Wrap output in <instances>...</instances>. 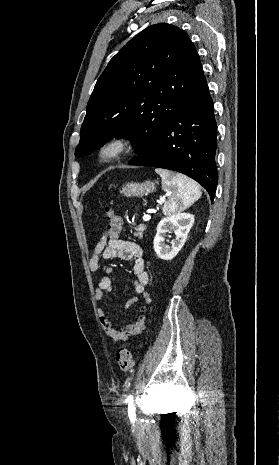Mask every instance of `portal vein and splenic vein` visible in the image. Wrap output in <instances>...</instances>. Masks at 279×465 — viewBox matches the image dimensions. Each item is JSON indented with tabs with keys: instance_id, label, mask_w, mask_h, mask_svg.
Listing matches in <instances>:
<instances>
[{
	"instance_id": "1",
	"label": "portal vein and splenic vein",
	"mask_w": 279,
	"mask_h": 465,
	"mask_svg": "<svg viewBox=\"0 0 279 465\" xmlns=\"http://www.w3.org/2000/svg\"><path fill=\"white\" fill-rule=\"evenodd\" d=\"M164 200H165V197L160 198L159 203L161 204L162 202H164ZM150 219H151V216H150L149 214H144L143 220H144L145 222L149 221Z\"/></svg>"
}]
</instances>
